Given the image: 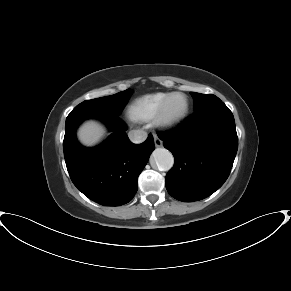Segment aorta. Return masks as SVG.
I'll return each mask as SVG.
<instances>
[{
    "instance_id": "aorta-1",
    "label": "aorta",
    "mask_w": 291,
    "mask_h": 291,
    "mask_svg": "<svg viewBox=\"0 0 291 291\" xmlns=\"http://www.w3.org/2000/svg\"><path fill=\"white\" fill-rule=\"evenodd\" d=\"M152 157L159 171H168L174 165L172 153L165 148H156L152 153Z\"/></svg>"
}]
</instances>
